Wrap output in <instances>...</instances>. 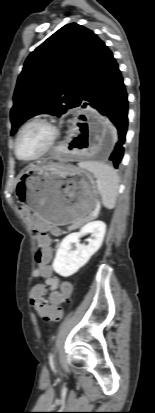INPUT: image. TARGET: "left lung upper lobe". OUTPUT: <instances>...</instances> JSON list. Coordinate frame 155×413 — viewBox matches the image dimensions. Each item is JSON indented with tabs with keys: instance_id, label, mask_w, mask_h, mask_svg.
Segmentation results:
<instances>
[{
	"instance_id": "left-lung-upper-lobe-1",
	"label": "left lung upper lobe",
	"mask_w": 155,
	"mask_h": 413,
	"mask_svg": "<svg viewBox=\"0 0 155 413\" xmlns=\"http://www.w3.org/2000/svg\"><path fill=\"white\" fill-rule=\"evenodd\" d=\"M107 49L93 31L76 23L63 26L37 47L18 77L11 135L37 114L61 116L79 106Z\"/></svg>"
}]
</instances>
